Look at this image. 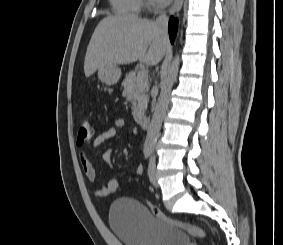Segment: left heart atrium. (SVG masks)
I'll return each mask as SVG.
<instances>
[{
  "label": "left heart atrium",
  "mask_w": 283,
  "mask_h": 245,
  "mask_svg": "<svg viewBox=\"0 0 283 245\" xmlns=\"http://www.w3.org/2000/svg\"><path fill=\"white\" fill-rule=\"evenodd\" d=\"M157 3H160V4H165L167 2H169L170 0H155Z\"/></svg>",
  "instance_id": "left-heart-atrium-1"
}]
</instances>
